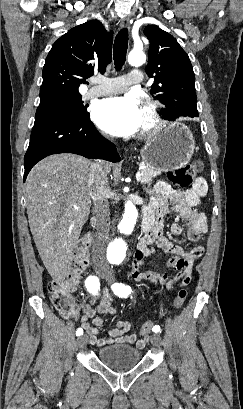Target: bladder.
I'll return each instance as SVG.
<instances>
[{"label": "bladder", "mask_w": 243, "mask_h": 409, "mask_svg": "<svg viewBox=\"0 0 243 409\" xmlns=\"http://www.w3.org/2000/svg\"><path fill=\"white\" fill-rule=\"evenodd\" d=\"M98 360L106 367L122 371L136 366L141 359V351L127 344L115 343L97 351Z\"/></svg>", "instance_id": "obj_1"}]
</instances>
